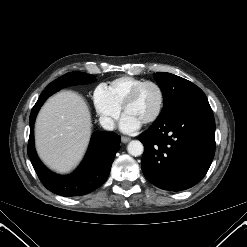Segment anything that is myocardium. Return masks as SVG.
<instances>
[{
    "label": "myocardium",
    "instance_id": "f54148a6",
    "mask_svg": "<svg viewBox=\"0 0 247 247\" xmlns=\"http://www.w3.org/2000/svg\"><path fill=\"white\" fill-rule=\"evenodd\" d=\"M148 85H151L157 89L159 94V104L155 113L150 118L145 120L143 122L144 124L154 123L161 116L163 112L165 105V93L162 86L159 83L150 80L143 81L142 83L138 84L136 87L133 88V90L129 93V95L127 96V98L125 99L122 105L123 112H126L127 107L136 100L141 90Z\"/></svg>",
    "mask_w": 247,
    "mask_h": 247
}]
</instances>
